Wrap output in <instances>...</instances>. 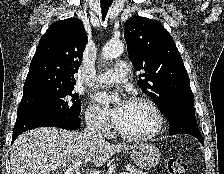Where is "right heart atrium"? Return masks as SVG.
<instances>
[{"mask_svg":"<svg viewBox=\"0 0 224 174\" xmlns=\"http://www.w3.org/2000/svg\"><path fill=\"white\" fill-rule=\"evenodd\" d=\"M85 118L88 126L98 132H107L109 124L102 111L93 103H90L86 109Z\"/></svg>","mask_w":224,"mask_h":174,"instance_id":"d8ad5b80","label":"right heart atrium"}]
</instances>
